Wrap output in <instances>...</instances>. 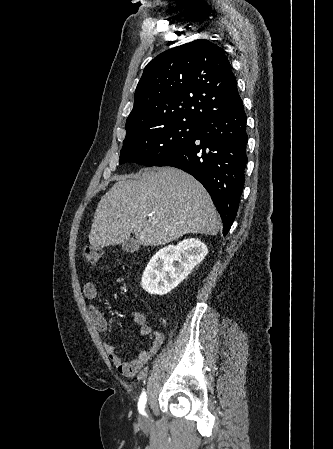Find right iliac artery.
<instances>
[{
	"label": "right iliac artery",
	"mask_w": 333,
	"mask_h": 449,
	"mask_svg": "<svg viewBox=\"0 0 333 449\" xmlns=\"http://www.w3.org/2000/svg\"><path fill=\"white\" fill-rule=\"evenodd\" d=\"M147 401V395L146 392L144 391L140 398H139V402H138V410L141 414H145L144 408H145V404Z\"/></svg>",
	"instance_id": "1"
}]
</instances>
